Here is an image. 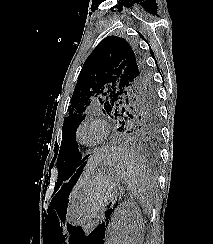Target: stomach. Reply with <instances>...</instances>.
Returning <instances> with one entry per match:
<instances>
[{
	"label": "stomach",
	"mask_w": 213,
	"mask_h": 244,
	"mask_svg": "<svg viewBox=\"0 0 213 244\" xmlns=\"http://www.w3.org/2000/svg\"><path fill=\"white\" fill-rule=\"evenodd\" d=\"M123 177L112 166V155L91 171L84 183L76 189L73 205L65 221L83 224L94 219L117 195Z\"/></svg>",
	"instance_id": "obj_1"
}]
</instances>
